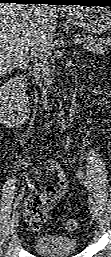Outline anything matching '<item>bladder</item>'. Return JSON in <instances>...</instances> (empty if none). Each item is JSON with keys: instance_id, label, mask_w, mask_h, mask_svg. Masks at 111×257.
<instances>
[{"instance_id": "1", "label": "bladder", "mask_w": 111, "mask_h": 257, "mask_svg": "<svg viewBox=\"0 0 111 257\" xmlns=\"http://www.w3.org/2000/svg\"><path fill=\"white\" fill-rule=\"evenodd\" d=\"M78 248L77 241L71 237L42 235L35 239L34 251L41 257H68Z\"/></svg>"}]
</instances>
